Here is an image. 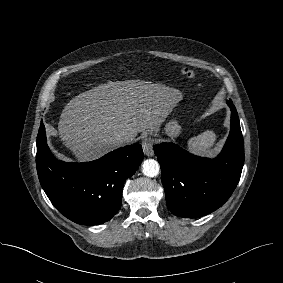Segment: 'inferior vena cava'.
<instances>
[{"mask_svg": "<svg viewBox=\"0 0 283 283\" xmlns=\"http://www.w3.org/2000/svg\"><path fill=\"white\" fill-rule=\"evenodd\" d=\"M130 142H132V138H130V137L126 136V135H118L114 139V143L117 146H122V145L128 144Z\"/></svg>", "mask_w": 283, "mask_h": 283, "instance_id": "obj_1", "label": "inferior vena cava"}]
</instances>
